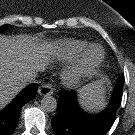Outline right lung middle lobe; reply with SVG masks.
<instances>
[{
    "mask_svg": "<svg viewBox=\"0 0 135 135\" xmlns=\"http://www.w3.org/2000/svg\"><path fill=\"white\" fill-rule=\"evenodd\" d=\"M7 27H8V25L0 26V32H2L3 30H5Z\"/></svg>",
    "mask_w": 135,
    "mask_h": 135,
    "instance_id": "obj_1",
    "label": "right lung middle lobe"
}]
</instances>
